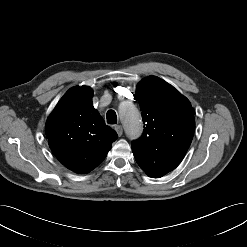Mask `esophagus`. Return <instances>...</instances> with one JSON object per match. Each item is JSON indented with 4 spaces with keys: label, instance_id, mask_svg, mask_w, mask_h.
Wrapping results in <instances>:
<instances>
[{
    "label": "esophagus",
    "instance_id": "1",
    "mask_svg": "<svg viewBox=\"0 0 247 247\" xmlns=\"http://www.w3.org/2000/svg\"><path fill=\"white\" fill-rule=\"evenodd\" d=\"M114 129L116 131V133L118 134V136L120 137L123 134V128L121 125H115Z\"/></svg>",
    "mask_w": 247,
    "mask_h": 247
}]
</instances>
